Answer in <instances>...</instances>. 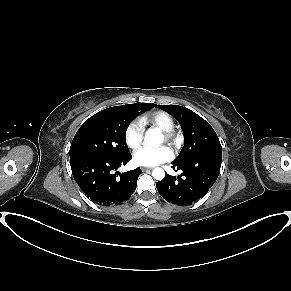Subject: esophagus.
Segmentation results:
<instances>
[{
	"label": "esophagus",
	"mask_w": 291,
	"mask_h": 291,
	"mask_svg": "<svg viewBox=\"0 0 291 291\" xmlns=\"http://www.w3.org/2000/svg\"><path fill=\"white\" fill-rule=\"evenodd\" d=\"M143 171H150L152 170L153 168L152 167H142L141 168Z\"/></svg>",
	"instance_id": "1"
}]
</instances>
